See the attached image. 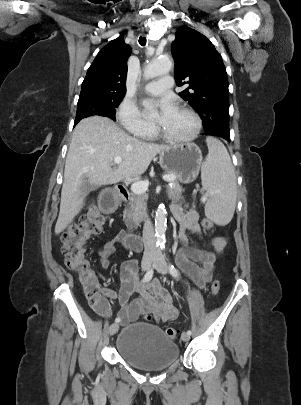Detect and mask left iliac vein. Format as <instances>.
Returning <instances> with one entry per match:
<instances>
[{"instance_id": "obj_1", "label": "left iliac vein", "mask_w": 301, "mask_h": 405, "mask_svg": "<svg viewBox=\"0 0 301 405\" xmlns=\"http://www.w3.org/2000/svg\"><path fill=\"white\" fill-rule=\"evenodd\" d=\"M153 266L157 270V272L163 275L168 273L167 263L164 259L163 254L160 251L156 253L155 259L153 261ZM181 339L183 341H188L190 339V335L187 332H183L181 335Z\"/></svg>"}]
</instances>
